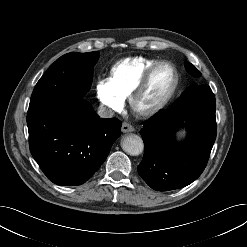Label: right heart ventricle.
Listing matches in <instances>:
<instances>
[{"mask_svg":"<svg viewBox=\"0 0 247 247\" xmlns=\"http://www.w3.org/2000/svg\"><path fill=\"white\" fill-rule=\"evenodd\" d=\"M157 61L143 56L120 60L111 69L110 83L116 92L125 99L130 95L145 70Z\"/></svg>","mask_w":247,"mask_h":247,"instance_id":"right-heart-ventricle-1","label":"right heart ventricle"}]
</instances>
